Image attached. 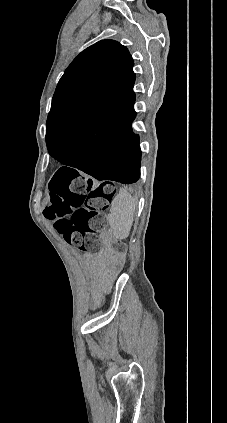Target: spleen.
Wrapping results in <instances>:
<instances>
[{
    "mask_svg": "<svg viewBox=\"0 0 227 423\" xmlns=\"http://www.w3.org/2000/svg\"><path fill=\"white\" fill-rule=\"evenodd\" d=\"M136 202L124 188H120L119 194L111 204L108 213V223L117 239L128 237L134 221Z\"/></svg>",
    "mask_w": 227,
    "mask_h": 423,
    "instance_id": "3e777b00",
    "label": "spleen"
}]
</instances>
